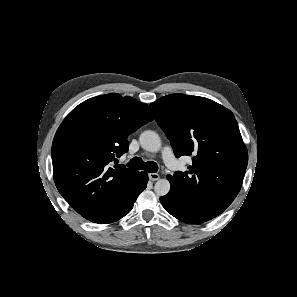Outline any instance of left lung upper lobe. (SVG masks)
I'll use <instances>...</instances> for the list:
<instances>
[{
  "mask_svg": "<svg viewBox=\"0 0 297 297\" xmlns=\"http://www.w3.org/2000/svg\"><path fill=\"white\" fill-rule=\"evenodd\" d=\"M150 107L176 157L194 156L187 172L167 176L171 191L218 216L239 193L248 163L233 113L210 99L181 93L164 96Z\"/></svg>",
  "mask_w": 297,
  "mask_h": 297,
  "instance_id": "obj_1",
  "label": "left lung upper lobe"
}]
</instances>
